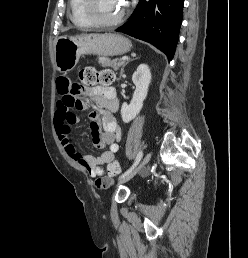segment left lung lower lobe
Segmentation results:
<instances>
[{
    "label": "left lung lower lobe",
    "instance_id": "0a47b994",
    "mask_svg": "<svg viewBox=\"0 0 248 258\" xmlns=\"http://www.w3.org/2000/svg\"><path fill=\"white\" fill-rule=\"evenodd\" d=\"M184 0H139L130 19L117 32L149 42L172 60L182 22Z\"/></svg>",
    "mask_w": 248,
    "mask_h": 258
}]
</instances>
